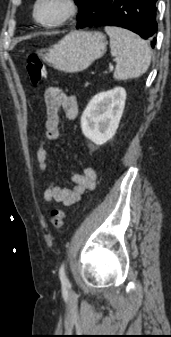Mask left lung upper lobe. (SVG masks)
<instances>
[{"mask_svg":"<svg viewBox=\"0 0 171 337\" xmlns=\"http://www.w3.org/2000/svg\"><path fill=\"white\" fill-rule=\"evenodd\" d=\"M88 1L89 0H75L76 4L79 7V13H78V16H77V20L80 18V16L84 12L85 6H86V4H87Z\"/></svg>","mask_w":171,"mask_h":337,"instance_id":"left-lung-upper-lobe-1","label":"left lung upper lobe"}]
</instances>
